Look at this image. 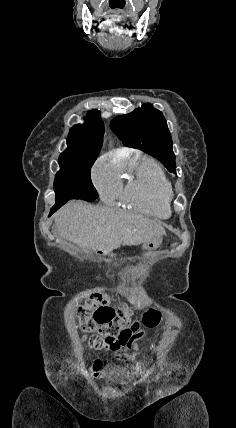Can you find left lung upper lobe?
I'll return each instance as SVG.
<instances>
[{
	"mask_svg": "<svg viewBox=\"0 0 236 428\" xmlns=\"http://www.w3.org/2000/svg\"><path fill=\"white\" fill-rule=\"evenodd\" d=\"M111 128L125 146L156 157L168 171L176 174L171 134L163 114L151 104L115 117Z\"/></svg>",
	"mask_w": 236,
	"mask_h": 428,
	"instance_id": "1",
	"label": "left lung upper lobe"
}]
</instances>
